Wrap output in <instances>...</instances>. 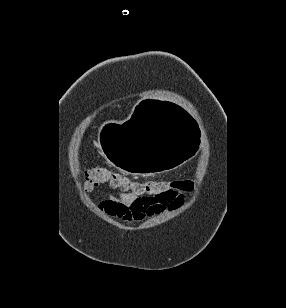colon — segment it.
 <instances>
[{
    "label": "colon",
    "instance_id": "obj_1",
    "mask_svg": "<svg viewBox=\"0 0 286 308\" xmlns=\"http://www.w3.org/2000/svg\"><path fill=\"white\" fill-rule=\"evenodd\" d=\"M101 185H109L123 192H130L145 198L165 196L171 190L190 192L195 188L192 180H151L133 181L127 176L106 166H99L86 171L84 189L92 190Z\"/></svg>",
    "mask_w": 286,
    "mask_h": 308
}]
</instances>
